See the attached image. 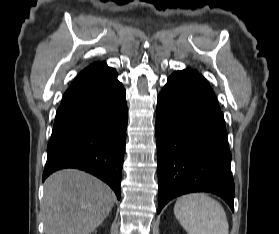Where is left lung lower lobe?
<instances>
[{
	"mask_svg": "<svg viewBox=\"0 0 279 234\" xmlns=\"http://www.w3.org/2000/svg\"><path fill=\"white\" fill-rule=\"evenodd\" d=\"M158 213L171 199L207 191L233 211L234 182L223 113L195 70L174 72L157 99Z\"/></svg>",
	"mask_w": 279,
	"mask_h": 234,
	"instance_id": "left-lung-lower-lobe-1",
	"label": "left lung lower lobe"
}]
</instances>
